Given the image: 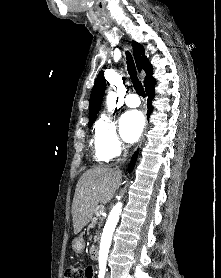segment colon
I'll use <instances>...</instances> for the list:
<instances>
[{"mask_svg":"<svg viewBox=\"0 0 221 278\" xmlns=\"http://www.w3.org/2000/svg\"><path fill=\"white\" fill-rule=\"evenodd\" d=\"M88 267L84 268L80 264H72L67 267L65 272V278H85L88 271Z\"/></svg>","mask_w":221,"mask_h":278,"instance_id":"obj_1","label":"colon"}]
</instances>
